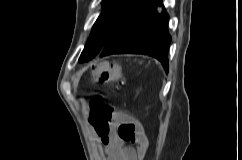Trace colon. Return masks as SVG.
Here are the masks:
<instances>
[{
    "instance_id": "1",
    "label": "colon",
    "mask_w": 242,
    "mask_h": 160,
    "mask_svg": "<svg viewBox=\"0 0 242 160\" xmlns=\"http://www.w3.org/2000/svg\"><path fill=\"white\" fill-rule=\"evenodd\" d=\"M91 75L94 80L101 84L112 82H121L122 72L118 65L109 62H98L91 66ZM91 123L98 133H103L108 129L113 119V111L99 98H94L90 102ZM134 125H123L121 129L122 136L125 140H132Z\"/></svg>"
}]
</instances>
